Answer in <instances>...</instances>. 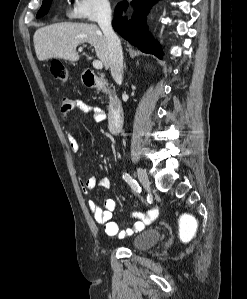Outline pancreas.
Masks as SVG:
<instances>
[{"label": "pancreas", "mask_w": 247, "mask_h": 299, "mask_svg": "<svg viewBox=\"0 0 247 299\" xmlns=\"http://www.w3.org/2000/svg\"><path fill=\"white\" fill-rule=\"evenodd\" d=\"M103 92L108 93L109 95H111V93H112L110 88L104 89Z\"/></svg>", "instance_id": "pancreas-1"}]
</instances>
